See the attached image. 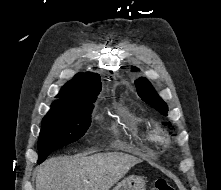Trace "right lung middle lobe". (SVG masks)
Returning <instances> with one entry per match:
<instances>
[{"mask_svg":"<svg viewBox=\"0 0 221 190\" xmlns=\"http://www.w3.org/2000/svg\"><path fill=\"white\" fill-rule=\"evenodd\" d=\"M95 100L66 109H50L42 120L38 140V163L56 149L80 139L91 124Z\"/></svg>","mask_w":221,"mask_h":190,"instance_id":"dd1d6c3e","label":"right lung middle lobe"}]
</instances>
